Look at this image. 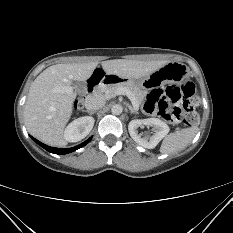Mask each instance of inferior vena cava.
<instances>
[{
    "label": "inferior vena cava",
    "instance_id": "1",
    "mask_svg": "<svg viewBox=\"0 0 233 233\" xmlns=\"http://www.w3.org/2000/svg\"><path fill=\"white\" fill-rule=\"evenodd\" d=\"M105 99L103 96L98 94H90L85 98V107L89 111H96L101 109L105 105Z\"/></svg>",
    "mask_w": 233,
    "mask_h": 233
}]
</instances>
